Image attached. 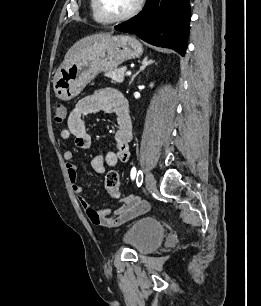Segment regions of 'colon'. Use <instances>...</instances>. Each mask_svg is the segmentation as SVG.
<instances>
[{
  "instance_id": "5ec220e1",
  "label": "colon",
  "mask_w": 261,
  "mask_h": 306,
  "mask_svg": "<svg viewBox=\"0 0 261 306\" xmlns=\"http://www.w3.org/2000/svg\"><path fill=\"white\" fill-rule=\"evenodd\" d=\"M54 119L56 123L61 124L66 118V109L62 104H55L53 107ZM105 187L107 192L114 198L120 197V178L115 170H111L106 174Z\"/></svg>"
}]
</instances>
